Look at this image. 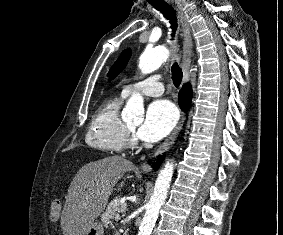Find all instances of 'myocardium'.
<instances>
[{
	"label": "myocardium",
	"mask_w": 283,
	"mask_h": 235,
	"mask_svg": "<svg viewBox=\"0 0 283 235\" xmlns=\"http://www.w3.org/2000/svg\"><path fill=\"white\" fill-rule=\"evenodd\" d=\"M124 148H134L136 145V139L134 136V131L131 130L127 125L124 127Z\"/></svg>",
	"instance_id": "myocardium-1"
}]
</instances>
